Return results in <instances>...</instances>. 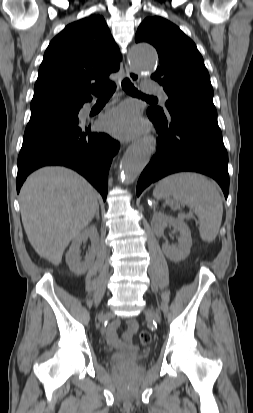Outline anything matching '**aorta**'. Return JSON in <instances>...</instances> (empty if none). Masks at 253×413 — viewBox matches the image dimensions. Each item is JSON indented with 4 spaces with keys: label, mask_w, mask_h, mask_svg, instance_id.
I'll list each match as a JSON object with an SVG mask.
<instances>
[{
    "label": "aorta",
    "mask_w": 253,
    "mask_h": 413,
    "mask_svg": "<svg viewBox=\"0 0 253 413\" xmlns=\"http://www.w3.org/2000/svg\"><path fill=\"white\" fill-rule=\"evenodd\" d=\"M157 60V53L150 44L137 43L130 50L131 65L140 73L156 69ZM153 146V140L147 138L126 151L120 165L125 183H132L142 172L151 158Z\"/></svg>",
    "instance_id": "aorta-1"
}]
</instances>
